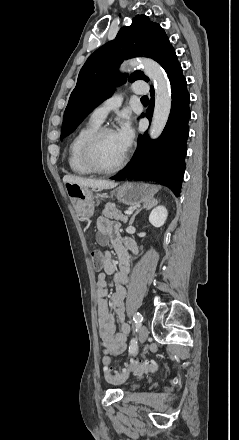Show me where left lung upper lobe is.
Masks as SVG:
<instances>
[{"mask_svg":"<svg viewBox=\"0 0 239 440\" xmlns=\"http://www.w3.org/2000/svg\"><path fill=\"white\" fill-rule=\"evenodd\" d=\"M172 48L162 27L146 15H137L131 26L121 28L116 38L91 54L81 68L65 109L61 139L126 81V76L117 72L124 59L145 56L162 66ZM139 79L149 81L142 71L132 73L128 81Z\"/></svg>","mask_w":239,"mask_h":440,"instance_id":"1","label":"left lung upper lobe"}]
</instances>
